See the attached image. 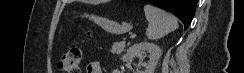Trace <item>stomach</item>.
Returning <instances> with one entry per match:
<instances>
[{"label": "stomach", "mask_w": 244, "mask_h": 73, "mask_svg": "<svg viewBox=\"0 0 244 73\" xmlns=\"http://www.w3.org/2000/svg\"><path fill=\"white\" fill-rule=\"evenodd\" d=\"M91 20H93L96 24L102 27L106 32L112 34H124L129 32L132 29V25L128 22L122 21L118 22L107 17L95 16V15H87Z\"/></svg>", "instance_id": "obj_1"}]
</instances>
